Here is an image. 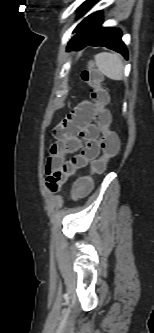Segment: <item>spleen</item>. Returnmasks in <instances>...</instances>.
Wrapping results in <instances>:
<instances>
[{
	"mask_svg": "<svg viewBox=\"0 0 154 333\" xmlns=\"http://www.w3.org/2000/svg\"><path fill=\"white\" fill-rule=\"evenodd\" d=\"M98 70L112 80H122L124 75V65L120 55L117 53H98L95 56Z\"/></svg>",
	"mask_w": 154,
	"mask_h": 333,
	"instance_id": "1",
	"label": "spleen"
}]
</instances>
